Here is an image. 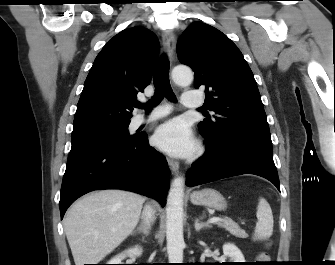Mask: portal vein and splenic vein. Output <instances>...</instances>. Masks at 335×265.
Listing matches in <instances>:
<instances>
[{
    "label": "portal vein and splenic vein",
    "instance_id": "portal-vein-and-splenic-vein-1",
    "mask_svg": "<svg viewBox=\"0 0 335 265\" xmlns=\"http://www.w3.org/2000/svg\"><path fill=\"white\" fill-rule=\"evenodd\" d=\"M220 221H222V219L219 218V217H212L208 220L209 223H217V222H220Z\"/></svg>",
    "mask_w": 335,
    "mask_h": 265
}]
</instances>
